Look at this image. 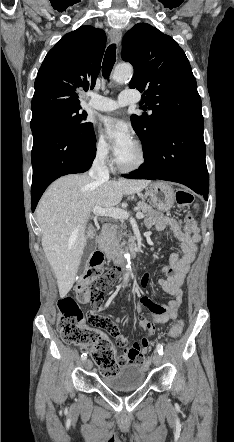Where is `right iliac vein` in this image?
I'll list each match as a JSON object with an SVG mask.
<instances>
[{"label":"right iliac vein","mask_w":234,"mask_h":442,"mask_svg":"<svg viewBox=\"0 0 234 442\" xmlns=\"http://www.w3.org/2000/svg\"><path fill=\"white\" fill-rule=\"evenodd\" d=\"M83 366H84L85 369L89 370L92 367V363H91L90 360L87 359V360H84Z\"/></svg>","instance_id":"right-iliac-vein-1"}]
</instances>
